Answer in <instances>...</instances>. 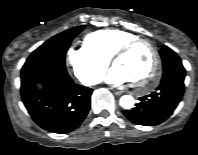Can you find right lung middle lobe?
Instances as JSON below:
<instances>
[{
    "label": "right lung middle lobe",
    "instance_id": "right-lung-middle-lobe-1",
    "mask_svg": "<svg viewBox=\"0 0 198 155\" xmlns=\"http://www.w3.org/2000/svg\"><path fill=\"white\" fill-rule=\"evenodd\" d=\"M84 27L85 26H78L68 29L50 38L32 52L26 60V63L31 61H46L65 66V54L67 49L73 38L80 33Z\"/></svg>",
    "mask_w": 198,
    "mask_h": 155
}]
</instances>
